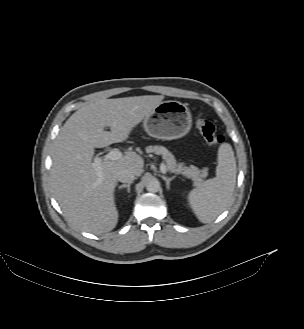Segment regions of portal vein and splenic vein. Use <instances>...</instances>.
<instances>
[{"mask_svg":"<svg viewBox=\"0 0 304 329\" xmlns=\"http://www.w3.org/2000/svg\"><path fill=\"white\" fill-rule=\"evenodd\" d=\"M122 157H123V153L121 151L116 150V149H112L106 155H104L103 157L94 158L93 167L97 171L98 176L102 177V172H101V167H100L101 162L103 160H118ZM160 170H161L162 173L167 172V168H166V165L164 163L161 164Z\"/></svg>","mask_w":304,"mask_h":329,"instance_id":"18ae733b","label":"portal vein and splenic vein"}]
</instances>
